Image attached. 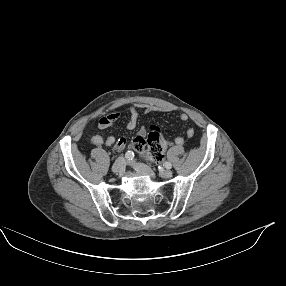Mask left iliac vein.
Segmentation results:
<instances>
[{"label": "left iliac vein", "mask_w": 286, "mask_h": 286, "mask_svg": "<svg viewBox=\"0 0 286 286\" xmlns=\"http://www.w3.org/2000/svg\"><path fill=\"white\" fill-rule=\"evenodd\" d=\"M132 166L137 167L138 165L135 162L130 163ZM160 176L163 178H170L172 176V172L170 170H161L159 172Z\"/></svg>", "instance_id": "4c4485c4"}]
</instances>
